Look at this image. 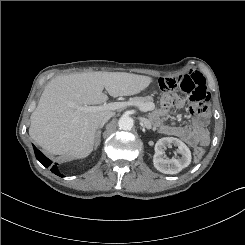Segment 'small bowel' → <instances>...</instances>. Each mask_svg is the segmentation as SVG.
<instances>
[{
    "label": "small bowel",
    "instance_id": "c3829d8e",
    "mask_svg": "<svg viewBox=\"0 0 245 245\" xmlns=\"http://www.w3.org/2000/svg\"><path fill=\"white\" fill-rule=\"evenodd\" d=\"M157 86L163 91L178 93L180 91L189 94L192 104L188 111L192 116L189 125L171 126L162 124L161 120L166 110L161 109L154 113L153 121L159 125V129L166 135L176 136L190 146L207 145L210 141L209 132L206 128L209 122L208 92L205 78L198 72H189L175 79L173 77H161ZM177 106L182 108L185 102L176 96Z\"/></svg>",
    "mask_w": 245,
    "mask_h": 245
}]
</instances>
